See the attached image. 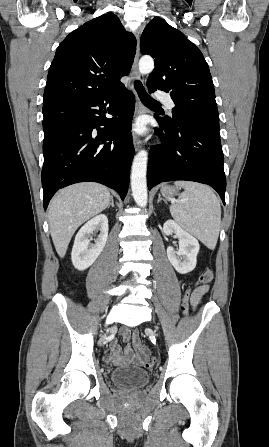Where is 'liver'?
I'll list each match as a JSON object with an SVG mask.
<instances>
[{"label": "liver", "instance_id": "liver-1", "mask_svg": "<svg viewBox=\"0 0 269 447\" xmlns=\"http://www.w3.org/2000/svg\"><path fill=\"white\" fill-rule=\"evenodd\" d=\"M111 196L101 184H74L59 190L49 206L50 233L56 251L64 257L69 241L79 225L106 210Z\"/></svg>", "mask_w": 269, "mask_h": 447}]
</instances>
